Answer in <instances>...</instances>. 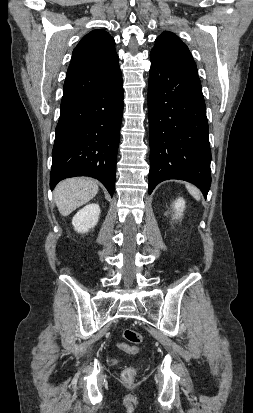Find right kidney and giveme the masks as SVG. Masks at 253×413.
<instances>
[{
  "label": "right kidney",
  "instance_id": "right-kidney-1",
  "mask_svg": "<svg viewBox=\"0 0 253 413\" xmlns=\"http://www.w3.org/2000/svg\"><path fill=\"white\" fill-rule=\"evenodd\" d=\"M100 207L98 204H88L79 210L72 219V225L78 233H87L94 228L99 220Z\"/></svg>",
  "mask_w": 253,
  "mask_h": 413
}]
</instances>
